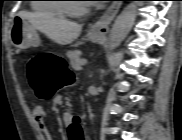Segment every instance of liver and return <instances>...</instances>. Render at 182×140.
I'll list each match as a JSON object with an SVG mask.
<instances>
[{"instance_id":"obj_1","label":"liver","mask_w":182,"mask_h":140,"mask_svg":"<svg viewBox=\"0 0 182 140\" xmlns=\"http://www.w3.org/2000/svg\"><path fill=\"white\" fill-rule=\"evenodd\" d=\"M19 15L28 20L34 29L44 33L52 41L67 45L75 41L82 30V26L53 15L42 13L20 12Z\"/></svg>"}]
</instances>
